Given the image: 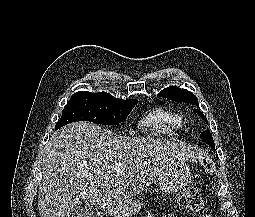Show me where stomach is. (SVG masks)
<instances>
[{"instance_id": "0dacf381", "label": "stomach", "mask_w": 255, "mask_h": 217, "mask_svg": "<svg viewBox=\"0 0 255 217\" xmlns=\"http://www.w3.org/2000/svg\"><path fill=\"white\" fill-rule=\"evenodd\" d=\"M191 177V172L184 162L176 164L171 170L162 173L157 182L164 193H175L184 187ZM142 202L133 199L114 201L108 204L113 217H132L142 208Z\"/></svg>"}]
</instances>
